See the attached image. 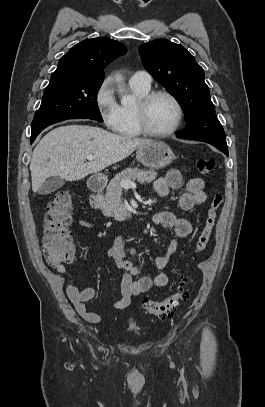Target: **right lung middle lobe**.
Listing matches in <instances>:
<instances>
[{"instance_id":"1","label":"right lung middle lobe","mask_w":265,"mask_h":407,"mask_svg":"<svg viewBox=\"0 0 265 407\" xmlns=\"http://www.w3.org/2000/svg\"><path fill=\"white\" fill-rule=\"evenodd\" d=\"M103 81L73 78L69 75L51 76L42 103L31 125V137L43 129L67 119H103L97 105V94Z\"/></svg>"}]
</instances>
